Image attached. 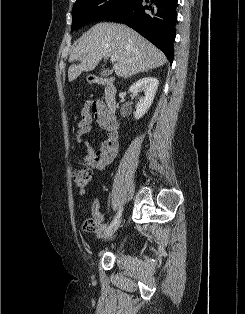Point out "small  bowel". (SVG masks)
<instances>
[{
    "mask_svg": "<svg viewBox=\"0 0 245 314\" xmlns=\"http://www.w3.org/2000/svg\"><path fill=\"white\" fill-rule=\"evenodd\" d=\"M92 117L97 125L105 131V137L101 141L98 149H94L84 135L89 131ZM75 141L84 146L86 154L84 161L94 170L100 171L110 164L118 153V126L115 118L109 117L104 111L103 102L100 100H90L85 103L81 110V121L78 131L75 134ZM99 203L95 202L93 213L98 221V227L92 231L101 234L105 229V217L98 212Z\"/></svg>",
    "mask_w": 245,
    "mask_h": 314,
    "instance_id": "1",
    "label": "small bowel"
}]
</instances>
